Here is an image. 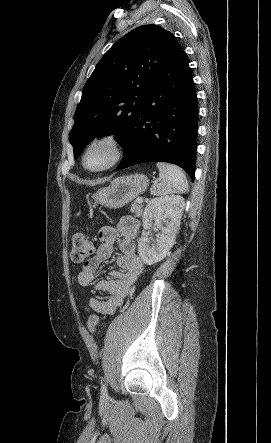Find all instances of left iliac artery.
I'll return each mask as SVG.
<instances>
[{
  "instance_id": "1",
  "label": "left iliac artery",
  "mask_w": 271,
  "mask_h": 443,
  "mask_svg": "<svg viewBox=\"0 0 271 443\" xmlns=\"http://www.w3.org/2000/svg\"><path fill=\"white\" fill-rule=\"evenodd\" d=\"M101 394L103 397H108L107 387L105 384H102V386H101Z\"/></svg>"
}]
</instances>
